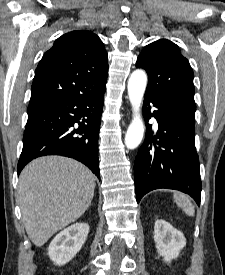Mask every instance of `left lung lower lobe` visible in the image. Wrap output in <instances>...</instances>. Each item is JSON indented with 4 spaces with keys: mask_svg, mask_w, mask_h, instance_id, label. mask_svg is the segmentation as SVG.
<instances>
[{
    "mask_svg": "<svg viewBox=\"0 0 225 275\" xmlns=\"http://www.w3.org/2000/svg\"><path fill=\"white\" fill-rule=\"evenodd\" d=\"M153 104L157 110L158 131L148 124ZM143 112L147 131L134 163L137 202L149 191L168 188L201 201L199 160L195 149V112L189 111L153 92L144 95Z\"/></svg>",
    "mask_w": 225,
    "mask_h": 275,
    "instance_id": "left-lung-lower-lobe-1",
    "label": "left lung lower lobe"
}]
</instances>
